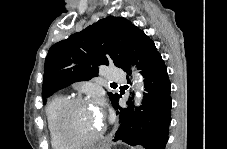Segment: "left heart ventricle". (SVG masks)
I'll return each mask as SVG.
<instances>
[{
	"label": "left heart ventricle",
	"instance_id": "b2bd125f",
	"mask_svg": "<svg viewBox=\"0 0 227 149\" xmlns=\"http://www.w3.org/2000/svg\"><path fill=\"white\" fill-rule=\"evenodd\" d=\"M102 124L98 110L89 102L75 105L66 117V132L75 138H88L96 134Z\"/></svg>",
	"mask_w": 227,
	"mask_h": 149
}]
</instances>
